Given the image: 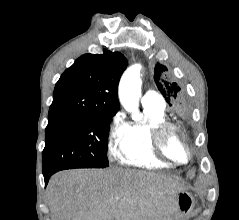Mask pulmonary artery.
Wrapping results in <instances>:
<instances>
[{
    "label": "pulmonary artery",
    "instance_id": "e3ab8cb5",
    "mask_svg": "<svg viewBox=\"0 0 239 220\" xmlns=\"http://www.w3.org/2000/svg\"><path fill=\"white\" fill-rule=\"evenodd\" d=\"M141 103L143 106L165 108L164 98L155 90H147L141 99Z\"/></svg>",
    "mask_w": 239,
    "mask_h": 220
}]
</instances>
